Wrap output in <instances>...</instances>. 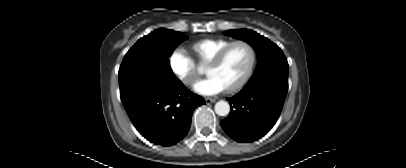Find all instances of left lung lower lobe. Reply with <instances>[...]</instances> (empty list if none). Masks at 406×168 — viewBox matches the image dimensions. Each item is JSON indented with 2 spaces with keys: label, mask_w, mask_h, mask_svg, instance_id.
I'll return each mask as SVG.
<instances>
[{
  "label": "left lung lower lobe",
  "mask_w": 406,
  "mask_h": 168,
  "mask_svg": "<svg viewBox=\"0 0 406 168\" xmlns=\"http://www.w3.org/2000/svg\"><path fill=\"white\" fill-rule=\"evenodd\" d=\"M287 91L288 82H248L228 99L231 112L220 121L223 130L238 142H252L263 137L278 120Z\"/></svg>",
  "instance_id": "obj_1"
}]
</instances>
